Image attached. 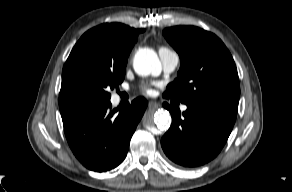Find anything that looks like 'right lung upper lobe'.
I'll list each match as a JSON object with an SVG mask.
<instances>
[{
    "label": "right lung upper lobe",
    "mask_w": 292,
    "mask_h": 192,
    "mask_svg": "<svg viewBox=\"0 0 292 192\" xmlns=\"http://www.w3.org/2000/svg\"><path fill=\"white\" fill-rule=\"evenodd\" d=\"M143 31L121 23H106L90 29L84 37H94L113 58L127 61L138 34Z\"/></svg>",
    "instance_id": "1"
}]
</instances>
